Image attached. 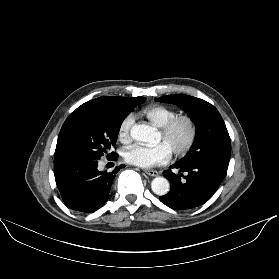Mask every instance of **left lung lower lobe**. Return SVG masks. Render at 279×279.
Returning <instances> with one entry per match:
<instances>
[{
    "label": "left lung lower lobe",
    "instance_id": "obj_1",
    "mask_svg": "<svg viewBox=\"0 0 279 279\" xmlns=\"http://www.w3.org/2000/svg\"><path fill=\"white\" fill-rule=\"evenodd\" d=\"M170 168L187 172L184 179H181L182 173L176 175L171 169L163 172L171 185L169 193L159 199L174 210L192 209L206 203L217 191L227 172V169L210 161L176 162Z\"/></svg>",
    "mask_w": 279,
    "mask_h": 279
}]
</instances>
